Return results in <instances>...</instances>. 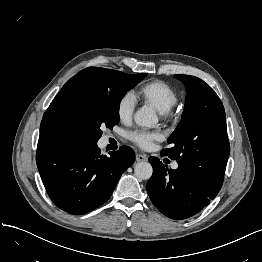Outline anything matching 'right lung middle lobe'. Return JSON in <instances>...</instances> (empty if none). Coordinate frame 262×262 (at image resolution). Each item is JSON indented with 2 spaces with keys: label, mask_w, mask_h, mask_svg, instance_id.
Listing matches in <instances>:
<instances>
[{
  "label": "right lung middle lobe",
  "mask_w": 262,
  "mask_h": 262,
  "mask_svg": "<svg viewBox=\"0 0 262 262\" xmlns=\"http://www.w3.org/2000/svg\"><path fill=\"white\" fill-rule=\"evenodd\" d=\"M146 76L109 70L100 77L74 80L55 113L61 136L97 144L102 127L112 128L119 123L123 96Z\"/></svg>",
  "instance_id": "1"
}]
</instances>
